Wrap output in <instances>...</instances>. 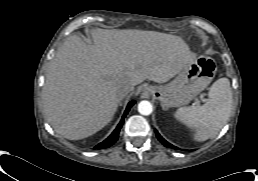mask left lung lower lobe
<instances>
[{
	"label": "left lung lower lobe",
	"instance_id": "left-lung-lower-lobe-1",
	"mask_svg": "<svg viewBox=\"0 0 258 181\" xmlns=\"http://www.w3.org/2000/svg\"><path fill=\"white\" fill-rule=\"evenodd\" d=\"M156 136L158 138V140L166 147H169V148H173V149H178L177 147L173 146L172 144L168 143L164 138H162L160 136V134L156 131Z\"/></svg>",
	"mask_w": 258,
	"mask_h": 181
}]
</instances>
